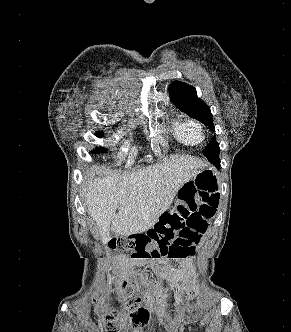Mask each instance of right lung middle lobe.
<instances>
[{
  "label": "right lung middle lobe",
  "mask_w": 291,
  "mask_h": 332,
  "mask_svg": "<svg viewBox=\"0 0 291 332\" xmlns=\"http://www.w3.org/2000/svg\"><path fill=\"white\" fill-rule=\"evenodd\" d=\"M96 136L101 138L103 136L102 131H98ZM105 151H106L105 148L100 147V148H97L96 150H94L93 153H99V152H105Z\"/></svg>",
  "instance_id": "obj_1"
}]
</instances>
